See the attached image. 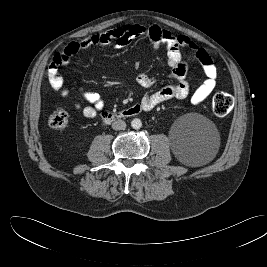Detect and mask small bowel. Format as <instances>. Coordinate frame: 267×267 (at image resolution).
<instances>
[{"mask_svg":"<svg viewBox=\"0 0 267 267\" xmlns=\"http://www.w3.org/2000/svg\"><path fill=\"white\" fill-rule=\"evenodd\" d=\"M137 37H148L152 43L153 51H156L161 45L166 47L167 66L171 70L170 78L172 79L169 84L154 93L145 95L141 99L140 105L144 111L152 110L167 100L184 99L189 95L190 86L186 80L188 66L183 60V48L194 52L206 76L203 83L192 94L191 103L198 105L213 92L217 83V68L205 49L199 47L188 37L175 36L155 24L142 25L137 23L124 24L104 33L87 37L80 42L69 43L60 53L53 57L49 66L47 77L51 87L62 99L69 98L70 90L64 84L60 69L68 63L71 57L81 50L93 46L114 44L116 48H121ZM136 81L141 87L146 89L154 87L157 83L154 77L145 73H140ZM78 93L87 104L83 105L76 102L74 103V108L80 111L84 118L92 119L103 110L104 102L98 93L87 91L83 88H80Z\"/></svg>","mask_w":267,"mask_h":267,"instance_id":"obj_1","label":"small bowel"}]
</instances>
